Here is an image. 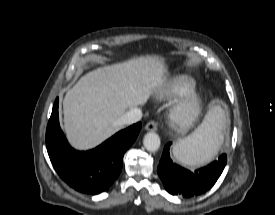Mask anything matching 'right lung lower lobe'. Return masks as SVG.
I'll list each match as a JSON object with an SVG mask.
<instances>
[{
	"instance_id": "right-lung-lower-lobe-1",
	"label": "right lung lower lobe",
	"mask_w": 275,
	"mask_h": 215,
	"mask_svg": "<svg viewBox=\"0 0 275 215\" xmlns=\"http://www.w3.org/2000/svg\"><path fill=\"white\" fill-rule=\"evenodd\" d=\"M57 98L46 130V146L58 175L75 190L99 194L107 190L118 177L125 151L134 143L141 123L138 122L87 152L74 150L59 126Z\"/></svg>"
}]
</instances>
